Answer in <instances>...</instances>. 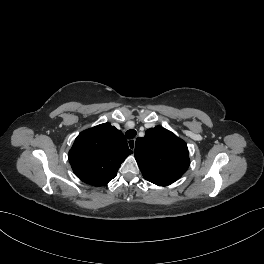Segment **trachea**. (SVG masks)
<instances>
[{"instance_id": "3493384b", "label": "trachea", "mask_w": 264, "mask_h": 264, "mask_svg": "<svg viewBox=\"0 0 264 264\" xmlns=\"http://www.w3.org/2000/svg\"><path fill=\"white\" fill-rule=\"evenodd\" d=\"M137 132L134 129L127 130L125 136L127 139H133L136 136Z\"/></svg>"}]
</instances>
